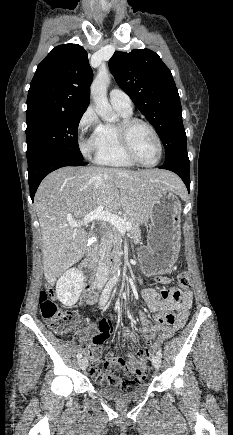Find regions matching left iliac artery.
Here are the masks:
<instances>
[{
	"mask_svg": "<svg viewBox=\"0 0 233 435\" xmlns=\"http://www.w3.org/2000/svg\"><path fill=\"white\" fill-rule=\"evenodd\" d=\"M156 354L157 356L162 357V353L160 351H158Z\"/></svg>",
	"mask_w": 233,
	"mask_h": 435,
	"instance_id": "obj_1",
	"label": "left iliac artery"
}]
</instances>
